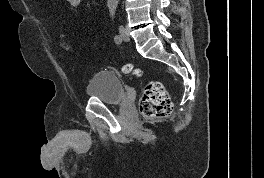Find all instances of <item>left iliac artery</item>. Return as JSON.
Returning a JSON list of instances; mask_svg holds the SVG:
<instances>
[{"mask_svg": "<svg viewBox=\"0 0 264 178\" xmlns=\"http://www.w3.org/2000/svg\"><path fill=\"white\" fill-rule=\"evenodd\" d=\"M111 15H112V17H114V12H111ZM114 41L116 43H120L122 40H121V37L119 35H115Z\"/></svg>", "mask_w": 264, "mask_h": 178, "instance_id": "1", "label": "left iliac artery"}]
</instances>
